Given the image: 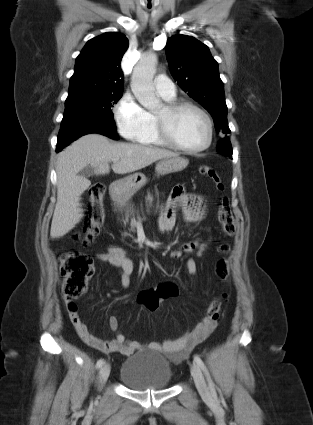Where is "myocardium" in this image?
Listing matches in <instances>:
<instances>
[{
    "instance_id": "f54148a6",
    "label": "myocardium",
    "mask_w": 313,
    "mask_h": 425,
    "mask_svg": "<svg viewBox=\"0 0 313 425\" xmlns=\"http://www.w3.org/2000/svg\"><path fill=\"white\" fill-rule=\"evenodd\" d=\"M186 110H194L205 119L208 129L206 142L198 148H187L174 136L172 125L178 115ZM156 130L160 140L167 146L187 154H197L207 150L214 137V125L210 115L200 106L191 102H171L164 106V115H156Z\"/></svg>"
}]
</instances>
